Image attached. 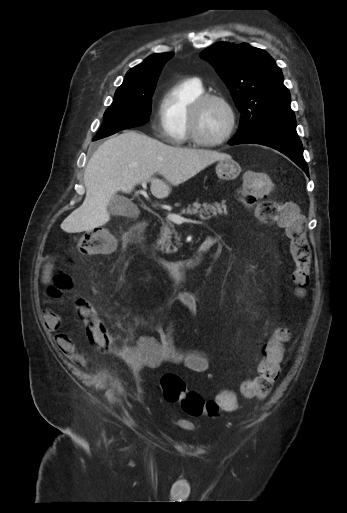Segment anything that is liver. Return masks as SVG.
<instances>
[{"instance_id":"liver-1","label":"liver","mask_w":347,"mask_h":513,"mask_svg":"<svg viewBox=\"0 0 347 513\" xmlns=\"http://www.w3.org/2000/svg\"><path fill=\"white\" fill-rule=\"evenodd\" d=\"M231 158L215 150L166 145L136 131H124L106 140L90 158L85 172L86 197L62 223L67 233L91 231L110 220L108 204L118 191L131 193L142 182H150L157 198H166L178 186L215 161Z\"/></svg>"}]
</instances>
